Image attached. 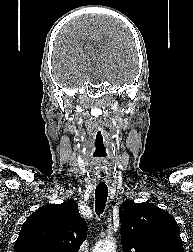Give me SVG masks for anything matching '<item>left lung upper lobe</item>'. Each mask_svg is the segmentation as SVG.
<instances>
[{"label": "left lung upper lobe", "instance_id": "1", "mask_svg": "<svg viewBox=\"0 0 193 252\" xmlns=\"http://www.w3.org/2000/svg\"><path fill=\"white\" fill-rule=\"evenodd\" d=\"M119 216L123 252H184L178 224L165 210L126 200Z\"/></svg>", "mask_w": 193, "mask_h": 252}]
</instances>
